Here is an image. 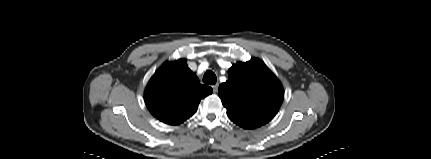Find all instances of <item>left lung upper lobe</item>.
<instances>
[{
  "label": "left lung upper lobe",
  "instance_id": "left-lung-upper-lobe-1",
  "mask_svg": "<svg viewBox=\"0 0 431 159\" xmlns=\"http://www.w3.org/2000/svg\"><path fill=\"white\" fill-rule=\"evenodd\" d=\"M219 97L228 117L251 129L268 123L278 112L284 97L277 77L259 59L234 64L228 80L219 86Z\"/></svg>",
  "mask_w": 431,
  "mask_h": 159
}]
</instances>
